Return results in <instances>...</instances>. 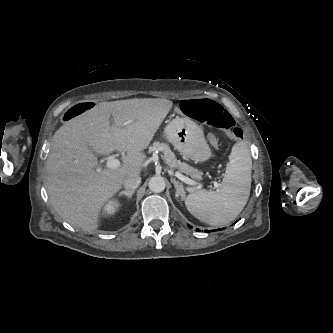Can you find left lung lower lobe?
Instances as JSON below:
<instances>
[{
  "label": "left lung lower lobe",
  "mask_w": 333,
  "mask_h": 333,
  "mask_svg": "<svg viewBox=\"0 0 333 333\" xmlns=\"http://www.w3.org/2000/svg\"><path fill=\"white\" fill-rule=\"evenodd\" d=\"M188 226L192 228V226H190V225H188ZM197 231H200V230H199V229H197ZM205 232H210V231H208V230H205Z\"/></svg>",
  "instance_id": "left-lung-lower-lobe-1"
}]
</instances>
